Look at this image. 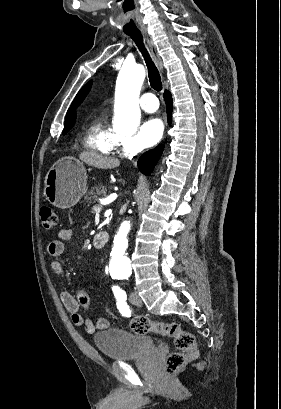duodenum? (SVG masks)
Listing matches in <instances>:
<instances>
[{
  "mask_svg": "<svg viewBox=\"0 0 281 409\" xmlns=\"http://www.w3.org/2000/svg\"><path fill=\"white\" fill-rule=\"evenodd\" d=\"M108 242V235L106 233H98L94 237V245L97 249L103 248Z\"/></svg>",
  "mask_w": 281,
  "mask_h": 409,
  "instance_id": "410a0bca",
  "label": "duodenum"
}]
</instances>
